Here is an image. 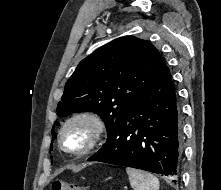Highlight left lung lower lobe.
<instances>
[{
  "instance_id": "0a47b994",
  "label": "left lung lower lobe",
  "mask_w": 221,
  "mask_h": 190,
  "mask_svg": "<svg viewBox=\"0 0 221 190\" xmlns=\"http://www.w3.org/2000/svg\"><path fill=\"white\" fill-rule=\"evenodd\" d=\"M107 134V142L88 161L142 169L173 179L179 176L180 108L167 66Z\"/></svg>"
}]
</instances>
